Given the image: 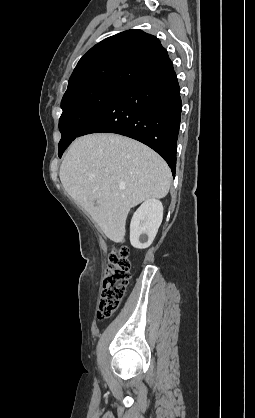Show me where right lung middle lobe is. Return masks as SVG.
Returning <instances> with one entry per match:
<instances>
[{
    "label": "right lung middle lobe",
    "instance_id": "1",
    "mask_svg": "<svg viewBox=\"0 0 255 418\" xmlns=\"http://www.w3.org/2000/svg\"><path fill=\"white\" fill-rule=\"evenodd\" d=\"M126 86L117 82L96 81L76 86L64 94L61 101L63 113L59 119L62 134L58 145L59 157L88 122Z\"/></svg>",
    "mask_w": 255,
    "mask_h": 418
}]
</instances>
